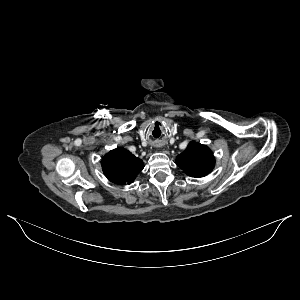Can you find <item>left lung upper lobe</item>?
I'll use <instances>...</instances> for the list:
<instances>
[{"mask_svg":"<svg viewBox=\"0 0 300 300\" xmlns=\"http://www.w3.org/2000/svg\"><path fill=\"white\" fill-rule=\"evenodd\" d=\"M176 163L187 175L200 178L212 171L215 158L206 145L191 142L187 149L176 157Z\"/></svg>","mask_w":300,"mask_h":300,"instance_id":"5c2ea615","label":"left lung upper lobe"}]
</instances>
